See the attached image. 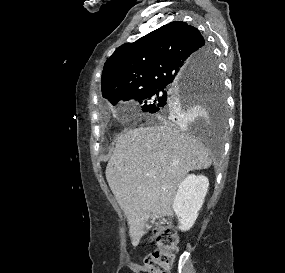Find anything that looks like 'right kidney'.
Returning <instances> with one entry per match:
<instances>
[{
	"label": "right kidney",
	"mask_w": 285,
	"mask_h": 273,
	"mask_svg": "<svg viewBox=\"0 0 285 273\" xmlns=\"http://www.w3.org/2000/svg\"><path fill=\"white\" fill-rule=\"evenodd\" d=\"M209 187L208 178L190 174L179 184L173 200V209L178 217L179 229L188 231L194 225Z\"/></svg>",
	"instance_id": "ca27d5eb"
}]
</instances>
